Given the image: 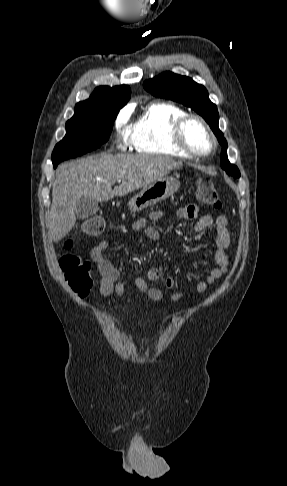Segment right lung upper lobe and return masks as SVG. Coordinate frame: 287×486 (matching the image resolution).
<instances>
[{
    "mask_svg": "<svg viewBox=\"0 0 287 486\" xmlns=\"http://www.w3.org/2000/svg\"><path fill=\"white\" fill-rule=\"evenodd\" d=\"M131 89L127 85L115 87L100 86L89 99L76 104L75 109L100 108L119 112L130 99Z\"/></svg>",
    "mask_w": 287,
    "mask_h": 486,
    "instance_id": "1",
    "label": "right lung upper lobe"
}]
</instances>
